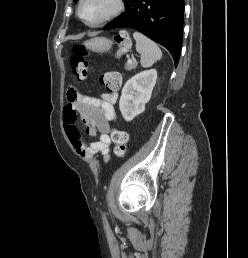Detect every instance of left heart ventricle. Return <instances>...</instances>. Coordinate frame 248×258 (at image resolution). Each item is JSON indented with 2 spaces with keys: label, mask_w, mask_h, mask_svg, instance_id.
I'll return each instance as SVG.
<instances>
[{
  "label": "left heart ventricle",
  "mask_w": 248,
  "mask_h": 258,
  "mask_svg": "<svg viewBox=\"0 0 248 258\" xmlns=\"http://www.w3.org/2000/svg\"><path fill=\"white\" fill-rule=\"evenodd\" d=\"M114 7V0H85L82 14L87 21L94 22L107 15Z\"/></svg>",
  "instance_id": "obj_1"
}]
</instances>
